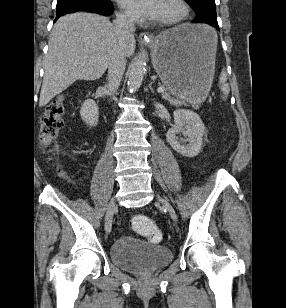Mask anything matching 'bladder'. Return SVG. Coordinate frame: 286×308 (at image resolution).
<instances>
[{
  "mask_svg": "<svg viewBox=\"0 0 286 308\" xmlns=\"http://www.w3.org/2000/svg\"><path fill=\"white\" fill-rule=\"evenodd\" d=\"M112 261L123 269L150 272L172 259V251L161 245L146 244L134 238H119L110 249Z\"/></svg>",
  "mask_w": 286,
  "mask_h": 308,
  "instance_id": "obj_1",
  "label": "bladder"
}]
</instances>
